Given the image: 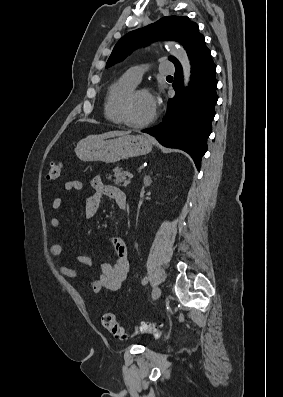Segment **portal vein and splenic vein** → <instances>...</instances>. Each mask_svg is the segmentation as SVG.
Listing matches in <instances>:
<instances>
[{
	"instance_id": "1",
	"label": "portal vein and splenic vein",
	"mask_w": 283,
	"mask_h": 397,
	"mask_svg": "<svg viewBox=\"0 0 283 397\" xmlns=\"http://www.w3.org/2000/svg\"><path fill=\"white\" fill-rule=\"evenodd\" d=\"M127 176H128L129 178H133V177H134L133 174H132L131 172H128V173H127Z\"/></svg>"
}]
</instances>
